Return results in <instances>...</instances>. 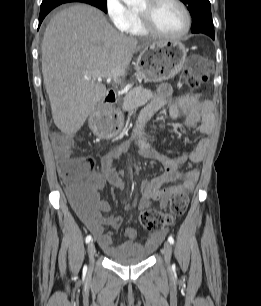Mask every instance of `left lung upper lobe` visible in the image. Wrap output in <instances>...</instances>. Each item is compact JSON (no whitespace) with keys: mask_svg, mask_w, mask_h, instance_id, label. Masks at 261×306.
Segmentation results:
<instances>
[{"mask_svg":"<svg viewBox=\"0 0 261 306\" xmlns=\"http://www.w3.org/2000/svg\"><path fill=\"white\" fill-rule=\"evenodd\" d=\"M188 6L192 16L191 32H214L209 0H180Z\"/></svg>","mask_w":261,"mask_h":306,"instance_id":"obj_1","label":"left lung upper lobe"}]
</instances>
